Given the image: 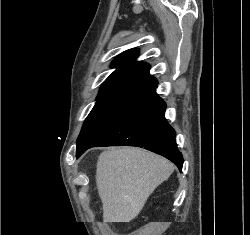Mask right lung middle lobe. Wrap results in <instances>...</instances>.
Wrapping results in <instances>:
<instances>
[{
  "mask_svg": "<svg viewBox=\"0 0 250 235\" xmlns=\"http://www.w3.org/2000/svg\"><path fill=\"white\" fill-rule=\"evenodd\" d=\"M127 99H129V97H98L94 108L83 124L77 143L80 142L91 130L106 119L111 113H113Z\"/></svg>",
  "mask_w": 250,
  "mask_h": 235,
  "instance_id": "dd1d6c3e",
  "label": "right lung middle lobe"
}]
</instances>
